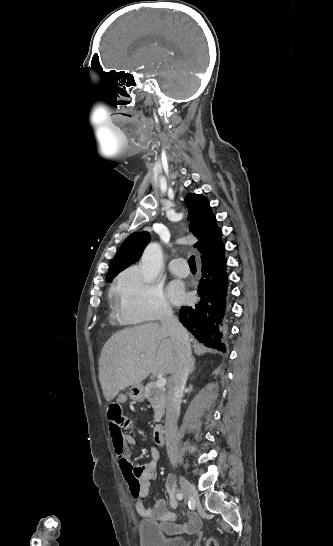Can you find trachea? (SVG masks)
I'll return each instance as SVG.
<instances>
[{
    "instance_id": "trachea-1",
    "label": "trachea",
    "mask_w": 333,
    "mask_h": 546,
    "mask_svg": "<svg viewBox=\"0 0 333 546\" xmlns=\"http://www.w3.org/2000/svg\"><path fill=\"white\" fill-rule=\"evenodd\" d=\"M188 263H189L190 268L196 269V262H195V258H194L193 255L189 258Z\"/></svg>"
}]
</instances>
